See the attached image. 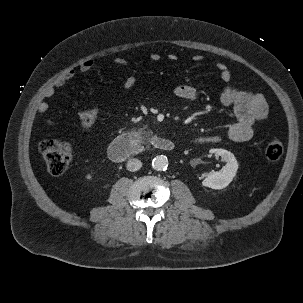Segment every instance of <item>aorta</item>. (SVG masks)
<instances>
[{
    "mask_svg": "<svg viewBox=\"0 0 303 303\" xmlns=\"http://www.w3.org/2000/svg\"><path fill=\"white\" fill-rule=\"evenodd\" d=\"M152 167L156 171H164L168 167V159L166 156L160 155L152 160Z\"/></svg>",
    "mask_w": 303,
    "mask_h": 303,
    "instance_id": "762f6f07",
    "label": "aorta"
}]
</instances>
